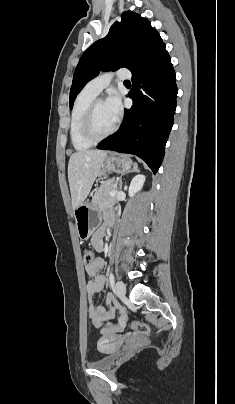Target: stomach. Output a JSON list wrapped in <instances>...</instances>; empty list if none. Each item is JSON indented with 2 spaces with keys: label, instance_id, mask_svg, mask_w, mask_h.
<instances>
[{
  "label": "stomach",
  "instance_id": "obj_1",
  "mask_svg": "<svg viewBox=\"0 0 235 404\" xmlns=\"http://www.w3.org/2000/svg\"><path fill=\"white\" fill-rule=\"evenodd\" d=\"M134 165L126 155L111 154L102 164L101 174L116 172L124 173ZM74 218L78 237L87 240L99 227L102 219L101 209L93 203L84 202L74 210Z\"/></svg>",
  "mask_w": 235,
  "mask_h": 404
}]
</instances>
